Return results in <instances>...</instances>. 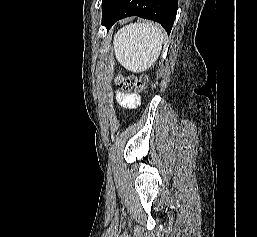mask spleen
Instances as JSON below:
<instances>
[{
    "label": "spleen",
    "instance_id": "obj_1",
    "mask_svg": "<svg viewBox=\"0 0 257 237\" xmlns=\"http://www.w3.org/2000/svg\"><path fill=\"white\" fill-rule=\"evenodd\" d=\"M164 38L162 30L150 22L129 24L114 36L118 62L132 72L149 69L157 61Z\"/></svg>",
    "mask_w": 257,
    "mask_h": 237
}]
</instances>
